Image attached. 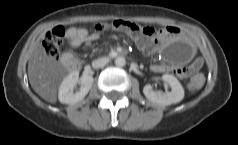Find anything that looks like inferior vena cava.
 Wrapping results in <instances>:
<instances>
[{"label": "inferior vena cava", "instance_id": "1", "mask_svg": "<svg viewBox=\"0 0 238 145\" xmlns=\"http://www.w3.org/2000/svg\"><path fill=\"white\" fill-rule=\"evenodd\" d=\"M108 59L107 58H99V59H96L92 62V67L93 68H101V67H104L107 63H108Z\"/></svg>", "mask_w": 238, "mask_h": 145}]
</instances>
